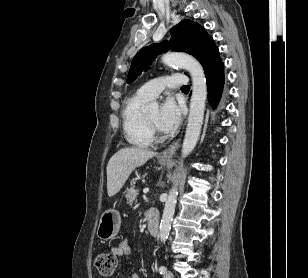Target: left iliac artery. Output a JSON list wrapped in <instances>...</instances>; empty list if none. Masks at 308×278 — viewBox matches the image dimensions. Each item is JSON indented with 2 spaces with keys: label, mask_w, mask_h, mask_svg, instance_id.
Returning a JSON list of instances; mask_svg holds the SVG:
<instances>
[{
  "label": "left iliac artery",
  "mask_w": 308,
  "mask_h": 278,
  "mask_svg": "<svg viewBox=\"0 0 308 278\" xmlns=\"http://www.w3.org/2000/svg\"><path fill=\"white\" fill-rule=\"evenodd\" d=\"M167 268L165 266H160L159 267V272L160 274H164L166 272Z\"/></svg>",
  "instance_id": "left-iliac-artery-1"
}]
</instances>
